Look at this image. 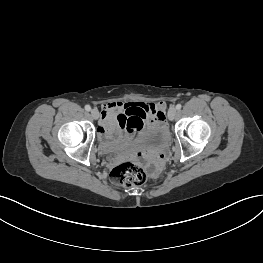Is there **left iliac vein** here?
Masks as SVG:
<instances>
[{"label":"left iliac vein","mask_w":263,"mask_h":263,"mask_svg":"<svg viewBox=\"0 0 263 263\" xmlns=\"http://www.w3.org/2000/svg\"><path fill=\"white\" fill-rule=\"evenodd\" d=\"M176 115H177V110H176V108L171 107V108L168 110V119H169V120H174L175 117H176Z\"/></svg>","instance_id":"1"}]
</instances>
